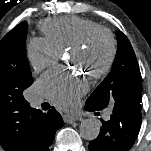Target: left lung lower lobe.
Masks as SVG:
<instances>
[{
	"label": "left lung lower lobe",
	"mask_w": 151,
	"mask_h": 151,
	"mask_svg": "<svg viewBox=\"0 0 151 151\" xmlns=\"http://www.w3.org/2000/svg\"><path fill=\"white\" fill-rule=\"evenodd\" d=\"M133 98L136 107H141L142 91H136ZM85 110L97 111L87 103ZM141 121L140 110H134L129 114L113 110L110 120H102L100 134L89 143V151H129L138 136Z\"/></svg>",
	"instance_id": "left-lung-lower-lobe-1"
}]
</instances>
